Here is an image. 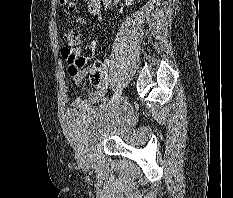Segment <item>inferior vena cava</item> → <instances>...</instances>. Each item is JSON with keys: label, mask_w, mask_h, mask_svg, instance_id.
Segmentation results:
<instances>
[{"label": "inferior vena cava", "mask_w": 233, "mask_h": 198, "mask_svg": "<svg viewBox=\"0 0 233 198\" xmlns=\"http://www.w3.org/2000/svg\"><path fill=\"white\" fill-rule=\"evenodd\" d=\"M103 2H104V5L106 6V8H107V6L109 5V3L111 2V0H103Z\"/></svg>", "instance_id": "obj_1"}]
</instances>
